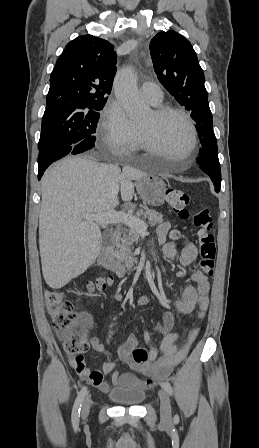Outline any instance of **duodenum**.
I'll use <instances>...</instances> for the list:
<instances>
[{"instance_id": "duodenum-1", "label": "duodenum", "mask_w": 259, "mask_h": 448, "mask_svg": "<svg viewBox=\"0 0 259 448\" xmlns=\"http://www.w3.org/2000/svg\"><path fill=\"white\" fill-rule=\"evenodd\" d=\"M119 239V231H114L111 233L107 244L102 248L98 256V263L116 274L118 277L122 278L130 273V269L118 261L114 255V248Z\"/></svg>"}]
</instances>
